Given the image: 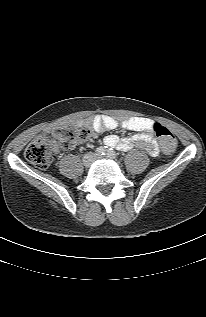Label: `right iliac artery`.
I'll use <instances>...</instances> for the list:
<instances>
[{"instance_id":"right-iliac-artery-1","label":"right iliac artery","mask_w":206,"mask_h":317,"mask_svg":"<svg viewBox=\"0 0 206 317\" xmlns=\"http://www.w3.org/2000/svg\"><path fill=\"white\" fill-rule=\"evenodd\" d=\"M106 148H107L106 146H104V147H102V146H101V147H98V148L95 150V152H96L97 155H101V156H102V155H105V154H106V151H107Z\"/></svg>"}]
</instances>
